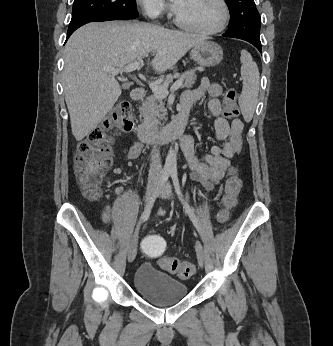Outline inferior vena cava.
<instances>
[{"instance_id": "602c4592", "label": "inferior vena cava", "mask_w": 333, "mask_h": 346, "mask_svg": "<svg viewBox=\"0 0 333 346\" xmlns=\"http://www.w3.org/2000/svg\"><path fill=\"white\" fill-rule=\"evenodd\" d=\"M161 171H162V163H161L159 148H157V146H153L151 151L149 179L160 176Z\"/></svg>"}]
</instances>
